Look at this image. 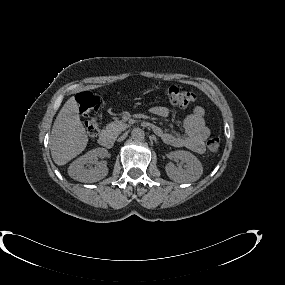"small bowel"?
Returning <instances> with one entry per match:
<instances>
[{
	"label": "small bowel",
	"instance_id": "obj_1",
	"mask_svg": "<svg viewBox=\"0 0 285 285\" xmlns=\"http://www.w3.org/2000/svg\"><path fill=\"white\" fill-rule=\"evenodd\" d=\"M150 112L162 118L169 115V110L163 106L152 107ZM204 115V109L200 106H195L192 112L184 119V135L165 132L157 126H153V129L165 143L174 147H184L201 154L205 151L204 142L210 136V130L205 125Z\"/></svg>",
	"mask_w": 285,
	"mask_h": 285
}]
</instances>
